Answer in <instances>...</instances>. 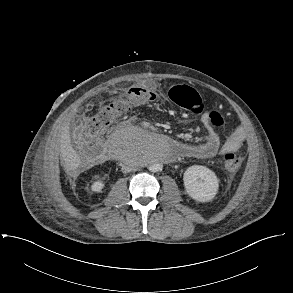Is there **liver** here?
Returning <instances> with one entry per match:
<instances>
[{"mask_svg":"<svg viewBox=\"0 0 293 293\" xmlns=\"http://www.w3.org/2000/svg\"><path fill=\"white\" fill-rule=\"evenodd\" d=\"M60 152L63 160V167L67 173L75 171L80 166V156L71 145L69 123H67L62 129L60 137Z\"/></svg>","mask_w":293,"mask_h":293,"instance_id":"6515ba94","label":"liver"}]
</instances>
